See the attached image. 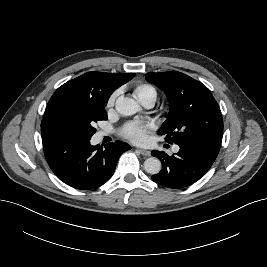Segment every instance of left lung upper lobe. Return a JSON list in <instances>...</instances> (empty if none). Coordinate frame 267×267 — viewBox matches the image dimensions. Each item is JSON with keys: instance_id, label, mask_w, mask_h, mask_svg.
I'll list each match as a JSON object with an SVG mask.
<instances>
[{"instance_id": "obj_1", "label": "left lung upper lobe", "mask_w": 267, "mask_h": 267, "mask_svg": "<svg viewBox=\"0 0 267 267\" xmlns=\"http://www.w3.org/2000/svg\"><path fill=\"white\" fill-rule=\"evenodd\" d=\"M146 79L167 95L170 111L159 129L169 143L184 144L223 136V120L211 91L177 71L146 73Z\"/></svg>"}]
</instances>
